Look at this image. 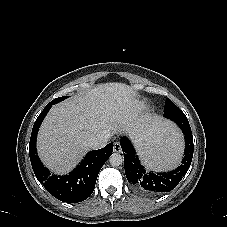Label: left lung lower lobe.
I'll return each instance as SVG.
<instances>
[{
  "mask_svg": "<svg viewBox=\"0 0 227 227\" xmlns=\"http://www.w3.org/2000/svg\"><path fill=\"white\" fill-rule=\"evenodd\" d=\"M164 117L174 121L181 128L185 138L184 158L175 170L149 172L141 165L130 140L127 137L120 140L127 180L137 192L146 196H159L173 190L187 173L193 158V136L188 119L170 99L166 101Z\"/></svg>",
  "mask_w": 227,
  "mask_h": 227,
  "instance_id": "obj_1",
  "label": "left lung lower lobe"
}]
</instances>
